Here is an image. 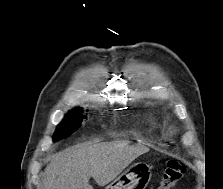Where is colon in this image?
Instances as JSON below:
<instances>
[{
	"mask_svg": "<svg viewBox=\"0 0 223 189\" xmlns=\"http://www.w3.org/2000/svg\"><path fill=\"white\" fill-rule=\"evenodd\" d=\"M184 165L175 159L167 162L162 179L156 189H172L185 173Z\"/></svg>",
	"mask_w": 223,
	"mask_h": 189,
	"instance_id": "5ec220e1",
	"label": "colon"
}]
</instances>
